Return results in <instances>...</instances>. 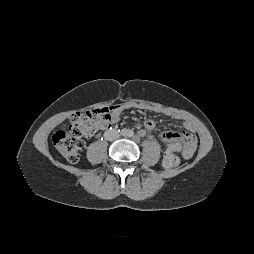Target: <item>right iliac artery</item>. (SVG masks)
<instances>
[{
    "instance_id": "obj_1",
    "label": "right iliac artery",
    "mask_w": 254,
    "mask_h": 254,
    "mask_svg": "<svg viewBox=\"0 0 254 254\" xmlns=\"http://www.w3.org/2000/svg\"><path fill=\"white\" fill-rule=\"evenodd\" d=\"M121 134H122V135H125V134H126V131H125V130H121Z\"/></svg>"
}]
</instances>
